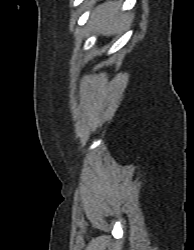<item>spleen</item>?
Returning <instances> with one entry per match:
<instances>
[{"mask_svg": "<svg viewBox=\"0 0 194 250\" xmlns=\"http://www.w3.org/2000/svg\"><path fill=\"white\" fill-rule=\"evenodd\" d=\"M120 2L109 1L99 5L91 15L93 30L105 36H111L125 29L131 23L132 15H119Z\"/></svg>", "mask_w": 194, "mask_h": 250, "instance_id": "spleen-1", "label": "spleen"}]
</instances>
